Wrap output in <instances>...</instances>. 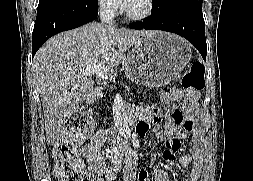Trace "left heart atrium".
Segmentation results:
<instances>
[{"mask_svg":"<svg viewBox=\"0 0 253 181\" xmlns=\"http://www.w3.org/2000/svg\"><path fill=\"white\" fill-rule=\"evenodd\" d=\"M116 1L122 9L129 10L136 0H116Z\"/></svg>","mask_w":253,"mask_h":181,"instance_id":"left-heart-atrium-1","label":"left heart atrium"}]
</instances>
